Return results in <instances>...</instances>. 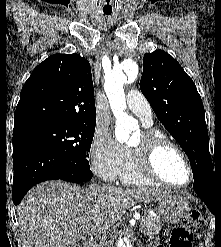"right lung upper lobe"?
I'll list each match as a JSON object with an SVG mask.
<instances>
[{
  "label": "right lung upper lobe",
  "instance_id": "right-lung-upper-lobe-1",
  "mask_svg": "<svg viewBox=\"0 0 221 247\" xmlns=\"http://www.w3.org/2000/svg\"><path fill=\"white\" fill-rule=\"evenodd\" d=\"M14 129L49 122L96 123L89 62L78 54H54L24 84Z\"/></svg>",
  "mask_w": 221,
  "mask_h": 247
}]
</instances>
